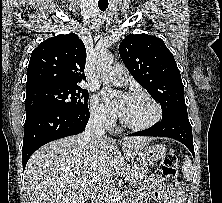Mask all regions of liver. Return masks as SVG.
Returning <instances> with one entry per match:
<instances>
[{"instance_id": "6515ba94", "label": "liver", "mask_w": 222, "mask_h": 203, "mask_svg": "<svg viewBox=\"0 0 222 203\" xmlns=\"http://www.w3.org/2000/svg\"><path fill=\"white\" fill-rule=\"evenodd\" d=\"M152 138L122 139L124 156L110 138L93 143L84 134L61 138L38 149L25 168L31 203H85L97 184L105 185Z\"/></svg>"}]
</instances>
